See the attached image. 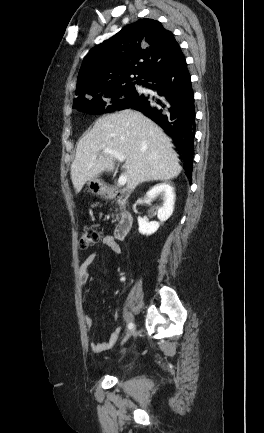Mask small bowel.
<instances>
[{
    "instance_id": "small-bowel-1",
    "label": "small bowel",
    "mask_w": 264,
    "mask_h": 433,
    "mask_svg": "<svg viewBox=\"0 0 264 433\" xmlns=\"http://www.w3.org/2000/svg\"><path fill=\"white\" fill-rule=\"evenodd\" d=\"M101 242L104 246H106L113 253L119 254L121 252L120 246L115 242V240L112 237H110V236L103 237ZM96 256H97L96 252H92L81 263V265L79 267V279H80L82 284L87 283V281L89 279V271L88 270H89V267L91 266V264L96 259ZM85 324H86L87 328L92 327L91 317H89V316L85 317ZM121 333H122V329L120 327L114 328L107 340L102 341V342H92L91 343V349L95 353H101V352H104V351L111 349L113 344L120 338Z\"/></svg>"
}]
</instances>
